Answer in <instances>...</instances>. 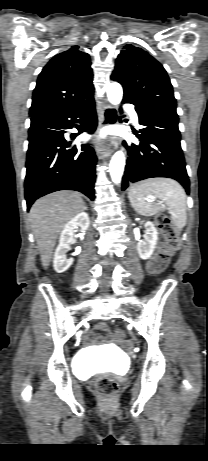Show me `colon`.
Segmentation results:
<instances>
[{"label":"colon","mask_w":208,"mask_h":461,"mask_svg":"<svg viewBox=\"0 0 208 461\" xmlns=\"http://www.w3.org/2000/svg\"><path fill=\"white\" fill-rule=\"evenodd\" d=\"M155 222L165 238V242L150 261V267L155 271H159L167 265L172 252L178 248L180 239L178 229L167 215H158ZM114 334L119 340L125 339V334L120 329L116 330ZM117 389V381L110 376H101L95 382V390L103 399H110L116 393Z\"/></svg>","instance_id":"5ec220e1"}]
</instances>
